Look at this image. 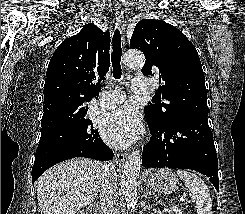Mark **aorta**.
<instances>
[{
  "label": "aorta",
  "mask_w": 245,
  "mask_h": 214,
  "mask_svg": "<svg viewBox=\"0 0 245 214\" xmlns=\"http://www.w3.org/2000/svg\"><path fill=\"white\" fill-rule=\"evenodd\" d=\"M123 63L129 68H141L145 63V57L139 51H128L123 57ZM140 169V151H132L126 159L121 176V189L128 208L133 209L137 203V179L139 177Z\"/></svg>",
  "instance_id": "762f6f07"
}]
</instances>
